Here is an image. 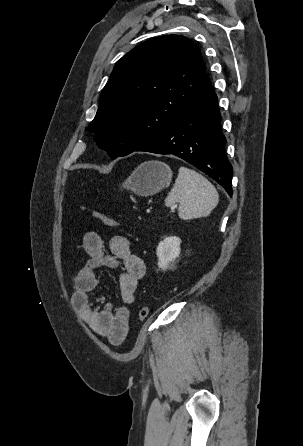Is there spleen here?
Here are the masks:
<instances>
[{
	"label": "spleen",
	"instance_id": "1",
	"mask_svg": "<svg viewBox=\"0 0 303 446\" xmlns=\"http://www.w3.org/2000/svg\"><path fill=\"white\" fill-rule=\"evenodd\" d=\"M218 201V192L208 179L192 169L180 167L175 184L165 199V206L178 202L179 217L190 220L208 216Z\"/></svg>",
	"mask_w": 303,
	"mask_h": 446
}]
</instances>
